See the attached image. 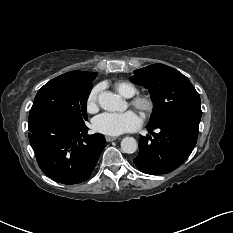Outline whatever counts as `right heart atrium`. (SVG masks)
<instances>
[{
  "instance_id": "right-heart-atrium-1",
  "label": "right heart atrium",
  "mask_w": 233,
  "mask_h": 233,
  "mask_svg": "<svg viewBox=\"0 0 233 233\" xmlns=\"http://www.w3.org/2000/svg\"><path fill=\"white\" fill-rule=\"evenodd\" d=\"M99 92H100V87H98V86L94 87L90 91V93L87 97V109L88 110L92 111L97 107Z\"/></svg>"
}]
</instances>
